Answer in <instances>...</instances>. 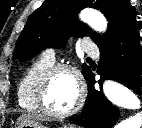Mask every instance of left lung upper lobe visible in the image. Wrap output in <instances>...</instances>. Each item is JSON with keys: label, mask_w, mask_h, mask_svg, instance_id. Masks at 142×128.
<instances>
[{"label": "left lung upper lobe", "mask_w": 142, "mask_h": 128, "mask_svg": "<svg viewBox=\"0 0 142 128\" xmlns=\"http://www.w3.org/2000/svg\"><path fill=\"white\" fill-rule=\"evenodd\" d=\"M85 7L99 9L109 21L104 36L93 33L91 28L76 19ZM136 22L129 0H46L29 16L16 42L13 59L26 61L47 47H63L72 35L76 38L91 36L100 47ZM90 71L89 66L83 64L85 78Z\"/></svg>", "instance_id": "1"}]
</instances>
